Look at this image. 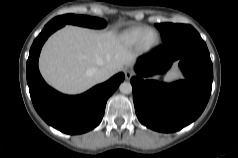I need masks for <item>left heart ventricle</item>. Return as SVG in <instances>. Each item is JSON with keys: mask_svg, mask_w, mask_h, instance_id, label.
Masks as SVG:
<instances>
[{"mask_svg": "<svg viewBox=\"0 0 238 158\" xmlns=\"http://www.w3.org/2000/svg\"><path fill=\"white\" fill-rule=\"evenodd\" d=\"M155 39V34L153 32L149 33L147 36V41L152 42Z\"/></svg>", "mask_w": 238, "mask_h": 158, "instance_id": "1", "label": "left heart ventricle"}]
</instances>
